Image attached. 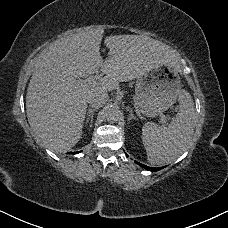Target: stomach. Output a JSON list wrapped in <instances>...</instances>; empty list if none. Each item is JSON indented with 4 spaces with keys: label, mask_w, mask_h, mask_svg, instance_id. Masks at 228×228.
<instances>
[{
    "label": "stomach",
    "mask_w": 228,
    "mask_h": 228,
    "mask_svg": "<svg viewBox=\"0 0 228 228\" xmlns=\"http://www.w3.org/2000/svg\"><path fill=\"white\" fill-rule=\"evenodd\" d=\"M178 70L159 65L137 77L136 100L147 117H155L173 106L181 92Z\"/></svg>",
    "instance_id": "1"
}]
</instances>
